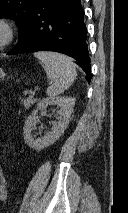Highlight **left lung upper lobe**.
I'll return each mask as SVG.
<instances>
[{
    "label": "left lung upper lobe",
    "instance_id": "5c2ea615",
    "mask_svg": "<svg viewBox=\"0 0 128 213\" xmlns=\"http://www.w3.org/2000/svg\"><path fill=\"white\" fill-rule=\"evenodd\" d=\"M38 0H0V18L13 19L20 30L28 24Z\"/></svg>",
    "mask_w": 128,
    "mask_h": 213
}]
</instances>
